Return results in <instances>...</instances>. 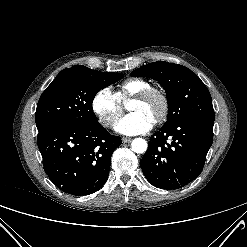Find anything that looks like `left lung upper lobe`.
Listing matches in <instances>:
<instances>
[{"label":"left lung upper lobe","instance_id":"obj_1","mask_svg":"<svg viewBox=\"0 0 247 247\" xmlns=\"http://www.w3.org/2000/svg\"><path fill=\"white\" fill-rule=\"evenodd\" d=\"M158 81L167 93L168 119L164 126L192 119L214 124L215 114L207 87L190 69L169 62L149 63L131 72Z\"/></svg>","mask_w":247,"mask_h":247}]
</instances>
